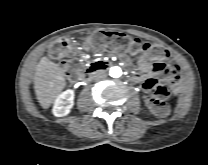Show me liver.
I'll use <instances>...</instances> for the list:
<instances>
[{
	"instance_id": "1",
	"label": "liver",
	"mask_w": 208,
	"mask_h": 165,
	"mask_svg": "<svg viewBox=\"0 0 208 165\" xmlns=\"http://www.w3.org/2000/svg\"><path fill=\"white\" fill-rule=\"evenodd\" d=\"M64 73L58 64L42 57L34 73V89L39 104L48 109L65 88Z\"/></svg>"
}]
</instances>
